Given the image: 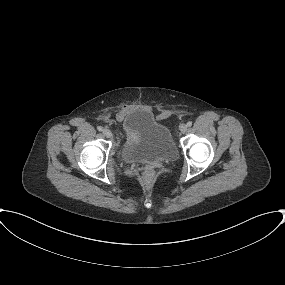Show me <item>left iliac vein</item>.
<instances>
[{
	"mask_svg": "<svg viewBox=\"0 0 285 285\" xmlns=\"http://www.w3.org/2000/svg\"><path fill=\"white\" fill-rule=\"evenodd\" d=\"M180 131H181L182 133H185V132L187 131V125L182 124V125L180 126Z\"/></svg>",
	"mask_w": 285,
	"mask_h": 285,
	"instance_id": "obj_1",
	"label": "left iliac vein"
}]
</instances>
